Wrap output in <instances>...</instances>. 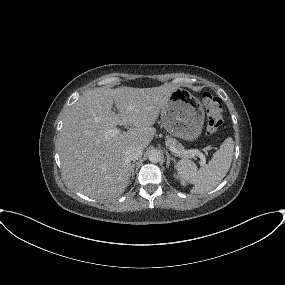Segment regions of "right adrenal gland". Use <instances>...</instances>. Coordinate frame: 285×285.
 Wrapping results in <instances>:
<instances>
[{
    "label": "right adrenal gland",
    "instance_id": "1",
    "mask_svg": "<svg viewBox=\"0 0 285 285\" xmlns=\"http://www.w3.org/2000/svg\"><path fill=\"white\" fill-rule=\"evenodd\" d=\"M135 165H136L135 162L131 165V170H130L131 181L134 179V175H135V172H134Z\"/></svg>",
    "mask_w": 285,
    "mask_h": 285
}]
</instances>
